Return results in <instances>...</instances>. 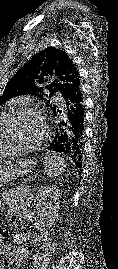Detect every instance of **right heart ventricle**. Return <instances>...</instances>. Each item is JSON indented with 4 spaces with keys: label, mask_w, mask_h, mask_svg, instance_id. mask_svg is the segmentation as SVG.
I'll use <instances>...</instances> for the list:
<instances>
[{
    "label": "right heart ventricle",
    "mask_w": 118,
    "mask_h": 269,
    "mask_svg": "<svg viewBox=\"0 0 118 269\" xmlns=\"http://www.w3.org/2000/svg\"><path fill=\"white\" fill-rule=\"evenodd\" d=\"M6 114H7L6 111L0 112V123L4 119ZM18 153H19V151H11V150L10 151H3L2 147L0 146V158L14 156V155H16Z\"/></svg>",
    "instance_id": "obj_1"
}]
</instances>
